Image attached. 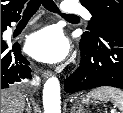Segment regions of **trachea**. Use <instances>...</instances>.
Returning a JSON list of instances; mask_svg holds the SVG:
<instances>
[{
	"mask_svg": "<svg viewBox=\"0 0 123 113\" xmlns=\"http://www.w3.org/2000/svg\"><path fill=\"white\" fill-rule=\"evenodd\" d=\"M43 6L45 9H47L50 12L58 13L62 15L65 18H76V15H70V14H61L60 10L58 9L57 5L54 3L53 0H31L24 12H23V18H31L39 9L40 6Z\"/></svg>",
	"mask_w": 123,
	"mask_h": 113,
	"instance_id": "3493384b",
	"label": "trachea"
}]
</instances>
